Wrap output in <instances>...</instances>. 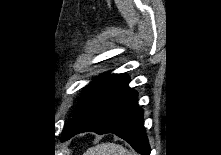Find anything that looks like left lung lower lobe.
Returning a JSON list of instances; mask_svg holds the SVG:
<instances>
[{"label": "left lung lower lobe", "instance_id": "obj_1", "mask_svg": "<svg viewBox=\"0 0 221 155\" xmlns=\"http://www.w3.org/2000/svg\"><path fill=\"white\" fill-rule=\"evenodd\" d=\"M128 82L124 74L106 77L88 97L62 140L86 131L114 133L141 155H150L143 112L137 105V93L128 87Z\"/></svg>", "mask_w": 221, "mask_h": 155}]
</instances>
